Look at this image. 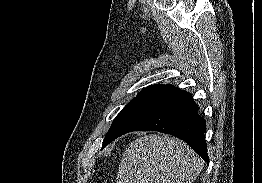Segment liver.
Segmentation results:
<instances>
[{"label": "liver", "instance_id": "liver-1", "mask_svg": "<svg viewBox=\"0 0 262 183\" xmlns=\"http://www.w3.org/2000/svg\"><path fill=\"white\" fill-rule=\"evenodd\" d=\"M203 160L182 140L150 134L125 149L116 183H192Z\"/></svg>", "mask_w": 262, "mask_h": 183}]
</instances>
